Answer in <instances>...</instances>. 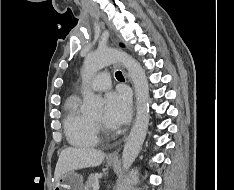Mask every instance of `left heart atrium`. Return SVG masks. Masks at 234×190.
Listing matches in <instances>:
<instances>
[{"label":"left heart atrium","mask_w":234,"mask_h":190,"mask_svg":"<svg viewBox=\"0 0 234 190\" xmlns=\"http://www.w3.org/2000/svg\"><path fill=\"white\" fill-rule=\"evenodd\" d=\"M105 103L104 120L108 125L116 128L128 121L131 113V100L126 91L118 90L107 93Z\"/></svg>","instance_id":"39dd6f15"}]
</instances>
